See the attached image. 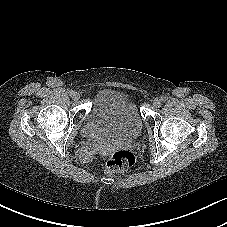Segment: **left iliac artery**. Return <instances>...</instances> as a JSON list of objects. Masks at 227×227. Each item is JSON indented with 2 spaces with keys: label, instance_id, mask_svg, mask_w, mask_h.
I'll list each match as a JSON object with an SVG mask.
<instances>
[{
  "label": "left iliac artery",
  "instance_id": "left-iliac-artery-1",
  "mask_svg": "<svg viewBox=\"0 0 227 227\" xmlns=\"http://www.w3.org/2000/svg\"><path fill=\"white\" fill-rule=\"evenodd\" d=\"M167 99H168V98H167L166 96H162V97H161V101H162V102L167 101Z\"/></svg>",
  "mask_w": 227,
  "mask_h": 227
}]
</instances>
